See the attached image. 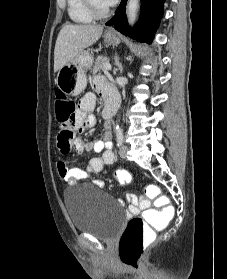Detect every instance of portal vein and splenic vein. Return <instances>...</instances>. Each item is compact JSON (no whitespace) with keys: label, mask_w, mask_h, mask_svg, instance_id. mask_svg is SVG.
<instances>
[{"label":"portal vein and splenic vein","mask_w":227,"mask_h":279,"mask_svg":"<svg viewBox=\"0 0 227 279\" xmlns=\"http://www.w3.org/2000/svg\"><path fill=\"white\" fill-rule=\"evenodd\" d=\"M111 70V65L109 63L104 65V71Z\"/></svg>","instance_id":"obj_1"}]
</instances>
